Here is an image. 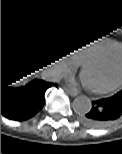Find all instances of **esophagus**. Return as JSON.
Masks as SVG:
<instances>
[{
  "mask_svg": "<svg viewBox=\"0 0 122 154\" xmlns=\"http://www.w3.org/2000/svg\"><path fill=\"white\" fill-rule=\"evenodd\" d=\"M64 90L66 91V93L68 95H70L71 97H75L78 95V90L77 89H73V88H70V87H65Z\"/></svg>",
  "mask_w": 122,
  "mask_h": 154,
  "instance_id": "1",
  "label": "esophagus"
}]
</instances>
